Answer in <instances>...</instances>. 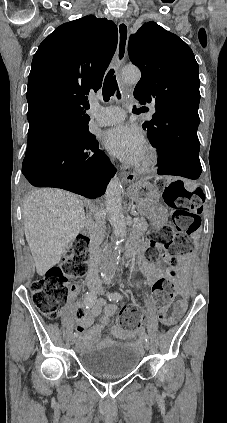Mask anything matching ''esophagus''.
I'll list each match as a JSON object with an SVG mask.
<instances>
[{
    "label": "esophagus",
    "instance_id": "esophagus-1",
    "mask_svg": "<svg viewBox=\"0 0 227 423\" xmlns=\"http://www.w3.org/2000/svg\"><path fill=\"white\" fill-rule=\"evenodd\" d=\"M129 39V26L124 20L118 23V45L116 52V65L120 66L125 60L127 52V44ZM123 182H133L136 178L134 173L122 171L120 173Z\"/></svg>",
    "mask_w": 227,
    "mask_h": 423
}]
</instances>
